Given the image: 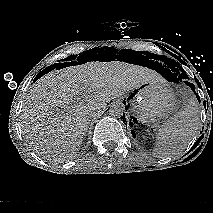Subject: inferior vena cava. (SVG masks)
Wrapping results in <instances>:
<instances>
[{"instance_id":"inferior-vena-cava-1","label":"inferior vena cava","mask_w":213,"mask_h":213,"mask_svg":"<svg viewBox=\"0 0 213 213\" xmlns=\"http://www.w3.org/2000/svg\"><path fill=\"white\" fill-rule=\"evenodd\" d=\"M90 117L95 119L97 117V112H91Z\"/></svg>"}]
</instances>
